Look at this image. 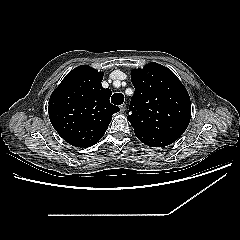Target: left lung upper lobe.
I'll list each match as a JSON object with an SVG mask.
<instances>
[{"mask_svg": "<svg viewBox=\"0 0 240 240\" xmlns=\"http://www.w3.org/2000/svg\"><path fill=\"white\" fill-rule=\"evenodd\" d=\"M135 87L127 117L140 138L177 140L187 129L191 102L186 88L168 68L151 62L131 72Z\"/></svg>", "mask_w": 240, "mask_h": 240, "instance_id": "5c2ea615", "label": "left lung upper lobe"}]
</instances>
